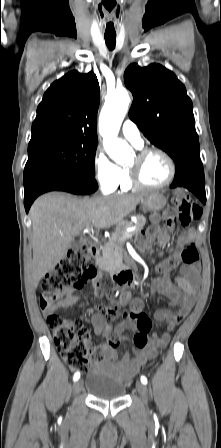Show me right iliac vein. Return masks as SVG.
Returning <instances> with one entry per match:
<instances>
[{"label":"right iliac vein","mask_w":221,"mask_h":448,"mask_svg":"<svg viewBox=\"0 0 221 448\" xmlns=\"http://www.w3.org/2000/svg\"><path fill=\"white\" fill-rule=\"evenodd\" d=\"M82 387H83V382H82V380H81V379H80V380H77V381L74 383V386H73L74 393H75V394L79 393V392L81 391Z\"/></svg>","instance_id":"right-iliac-vein-1"}]
</instances>
